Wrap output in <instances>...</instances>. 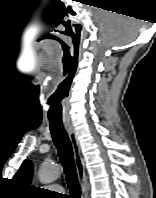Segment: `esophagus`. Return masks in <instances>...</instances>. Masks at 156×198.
I'll list each match as a JSON object with an SVG mask.
<instances>
[{
	"label": "esophagus",
	"mask_w": 156,
	"mask_h": 198,
	"mask_svg": "<svg viewBox=\"0 0 156 198\" xmlns=\"http://www.w3.org/2000/svg\"><path fill=\"white\" fill-rule=\"evenodd\" d=\"M64 127L68 133L73 148L77 176L81 186V198H87L85 165L81 156L79 141L76 136L75 130L70 123H64Z\"/></svg>",
	"instance_id": "34e87169"
}]
</instances>
